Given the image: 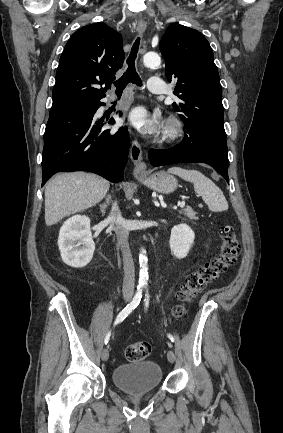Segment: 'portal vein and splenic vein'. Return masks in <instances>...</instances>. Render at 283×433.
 <instances>
[{
	"label": "portal vein and splenic vein",
	"mask_w": 283,
	"mask_h": 433,
	"mask_svg": "<svg viewBox=\"0 0 283 433\" xmlns=\"http://www.w3.org/2000/svg\"><path fill=\"white\" fill-rule=\"evenodd\" d=\"M180 206H184V200H183V204H180Z\"/></svg>",
	"instance_id": "1"
}]
</instances>
